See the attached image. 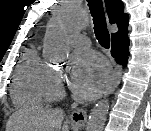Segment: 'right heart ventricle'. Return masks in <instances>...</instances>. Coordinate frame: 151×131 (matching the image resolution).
Masks as SVG:
<instances>
[{
  "label": "right heart ventricle",
  "instance_id": "obj_1",
  "mask_svg": "<svg viewBox=\"0 0 151 131\" xmlns=\"http://www.w3.org/2000/svg\"><path fill=\"white\" fill-rule=\"evenodd\" d=\"M51 76L50 65L39 56L37 50L33 46L26 48L14 75V104L18 107L41 105L46 97V83Z\"/></svg>",
  "mask_w": 151,
  "mask_h": 131
}]
</instances>
